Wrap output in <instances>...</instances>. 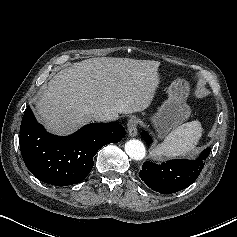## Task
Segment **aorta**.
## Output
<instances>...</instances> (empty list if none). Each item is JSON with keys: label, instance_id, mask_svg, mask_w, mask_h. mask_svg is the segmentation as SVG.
Returning a JSON list of instances; mask_svg holds the SVG:
<instances>
[{"label": "aorta", "instance_id": "aorta-1", "mask_svg": "<svg viewBox=\"0 0 237 237\" xmlns=\"http://www.w3.org/2000/svg\"><path fill=\"white\" fill-rule=\"evenodd\" d=\"M127 155L134 160H142L146 155L144 144L137 139H131L125 143Z\"/></svg>", "mask_w": 237, "mask_h": 237}]
</instances>
